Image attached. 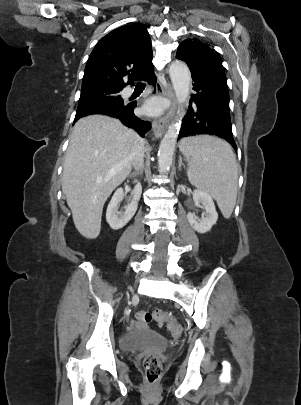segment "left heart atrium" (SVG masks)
<instances>
[{"label": "left heart atrium", "instance_id": "39dd6f15", "mask_svg": "<svg viewBox=\"0 0 301 405\" xmlns=\"http://www.w3.org/2000/svg\"><path fill=\"white\" fill-rule=\"evenodd\" d=\"M163 105L158 100H150L143 107V111L148 114H158L161 112Z\"/></svg>", "mask_w": 301, "mask_h": 405}]
</instances>
